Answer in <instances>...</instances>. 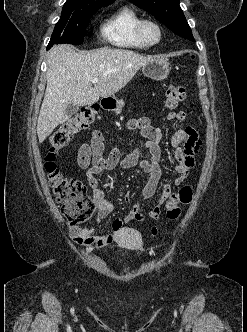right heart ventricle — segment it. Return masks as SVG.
Instances as JSON below:
<instances>
[{"mask_svg": "<svg viewBox=\"0 0 247 332\" xmlns=\"http://www.w3.org/2000/svg\"><path fill=\"white\" fill-rule=\"evenodd\" d=\"M142 16L131 6L125 5L116 10L102 25L101 34L111 45L141 50L147 48L137 36L136 27Z\"/></svg>", "mask_w": 247, "mask_h": 332, "instance_id": "1", "label": "right heart ventricle"}]
</instances>
